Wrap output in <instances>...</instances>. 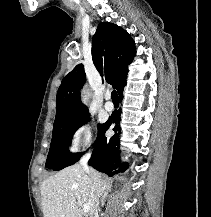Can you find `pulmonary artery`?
I'll return each instance as SVG.
<instances>
[{"mask_svg":"<svg viewBox=\"0 0 211 217\" xmlns=\"http://www.w3.org/2000/svg\"><path fill=\"white\" fill-rule=\"evenodd\" d=\"M111 96L109 93L106 94V102L104 104V108L106 111L111 112L114 109V105L112 101L110 100Z\"/></svg>","mask_w":211,"mask_h":217,"instance_id":"obj_1","label":"pulmonary artery"}]
</instances>
